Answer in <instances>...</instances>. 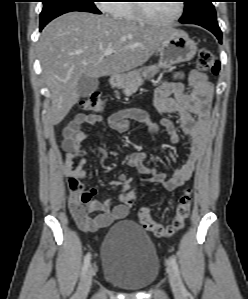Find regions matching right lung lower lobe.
<instances>
[{
    "label": "right lung lower lobe",
    "instance_id": "right-lung-lower-lobe-1",
    "mask_svg": "<svg viewBox=\"0 0 248 299\" xmlns=\"http://www.w3.org/2000/svg\"><path fill=\"white\" fill-rule=\"evenodd\" d=\"M45 25L46 24H40V30H42Z\"/></svg>",
    "mask_w": 248,
    "mask_h": 299
}]
</instances>
